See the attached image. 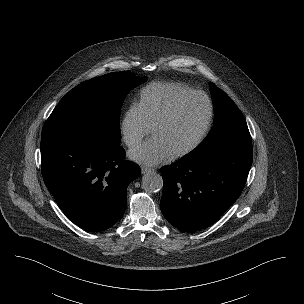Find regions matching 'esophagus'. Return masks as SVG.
<instances>
[{"label":"esophagus","instance_id":"1","mask_svg":"<svg viewBox=\"0 0 304 304\" xmlns=\"http://www.w3.org/2000/svg\"><path fill=\"white\" fill-rule=\"evenodd\" d=\"M154 169L153 168H150V167H146V166H142L141 167V172L143 173V174H145V173H148V172H151V171H153Z\"/></svg>","mask_w":304,"mask_h":304}]
</instances>
